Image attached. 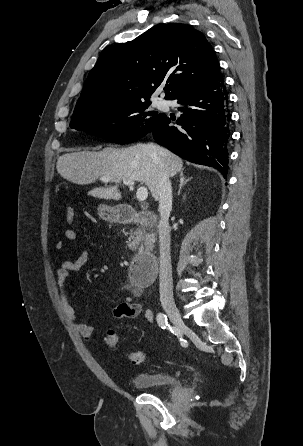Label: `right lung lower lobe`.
Returning a JSON list of instances; mask_svg holds the SVG:
<instances>
[{
  "label": "right lung lower lobe",
  "instance_id": "1",
  "mask_svg": "<svg viewBox=\"0 0 303 446\" xmlns=\"http://www.w3.org/2000/svg\"><path fill=\"white\" fill-rule=\"evenodd\" d=\"M173 100L183 112L169 126L166 115L149 132L155 141L188 161L218 169L226 178L230 140L229 97L223 77L187 90Z\"/></svg>",
  "mask_w": 303,
  "mask_h": 446
}]
</instances>
